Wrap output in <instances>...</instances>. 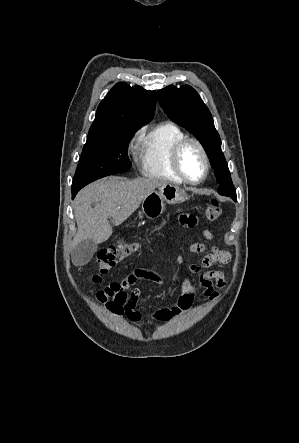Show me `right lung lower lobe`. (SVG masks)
<instances>
[{"label": "right lung lower lobe", "mask_w": 299, "mask_h": 443, "mask_svg": "<svg viewBox=\"0 0 299 443\" xmlns=\"http://www.w3.org/2000/svg\"><path fill=\"white\" fill-rule=\"evenodd\" d=\"M78 191H79V190H72V199H74V197L76 196V194H77Z\"/></svg>", "instance_id": "right-lung-lower-lobe-1"}]
</instances>
